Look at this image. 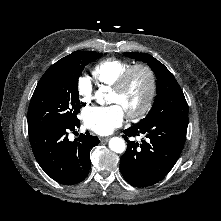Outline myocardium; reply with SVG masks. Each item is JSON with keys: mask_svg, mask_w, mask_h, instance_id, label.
<instances>
[{"mask_svg": "<svg viewBox=\"0 0 221 221\" xmlns=\"http://www.w3.org/2000/svg\"><path fill=\"white\" fill-rule=\"evenodd\" d=\"M136 72L146 75L148 81L147 95L142 105L135 111L127 112L129 119H138L144 116L151 108L157 91V78L155 72L146 64H135L129 67L113 86V91L122 95L129 86V83Z\"/></svg>", "mask_w": 221, "mask_h": 221, "instance_id": "obj_1", "label": "myocardium"}]
</instances>
